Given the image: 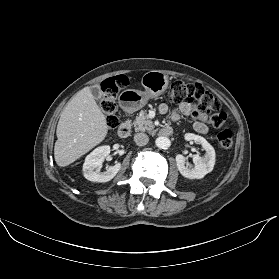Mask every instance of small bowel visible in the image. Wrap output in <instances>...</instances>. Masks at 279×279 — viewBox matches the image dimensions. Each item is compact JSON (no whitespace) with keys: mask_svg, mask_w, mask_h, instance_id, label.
<instances>
[{"mask_svg":"<svg viewBox=\"0 0 279 279\" xmlns=\"http://www.w3.org/2000/svg\"><path fill=\"white\" fill-rule=\"evenodd\" d=\"M158 109L159 112L162 114H166L170 111V108L166 103L160 104ZM192 113L193 111L191 106L188 103H182L171 112V120L178 121L181 116H189ZM193 128L195 131L201 134H205L208 132V126L201 121L194 122Z\"/></svg>","mask_w":279,"mask_h":279,"instance_id":"small-bowel-1","label":"small bowel"}]
</instances>
